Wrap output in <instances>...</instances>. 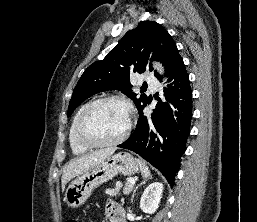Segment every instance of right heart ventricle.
I'll list each match as a JSON object with an SVG mask.
<instances>
[{"instance_id":"e07e8e85","label":"right heart ventricle","mask_w":257,"mask_h":222,"mask_svg":"<svg viewBox=\"0 0 257 222\" xmlns=\"http://www.w3.org/2000/svg\"><path fill=\"white\" fill-rule=\"evenodd\" d=\"M88 105L89 104H85L84 106H82L79 109V111L74 116V118H73V120L71 122L70 128H69V134H68L69 145H70V148H71L73 154H75V155L83 154V153L87 152L90 149L89 147H86V146L80 144L78 142V140L76 139V136H75V128H76L77 120H78L79 116L81 115V113L84 111V109Z\"/></svg>"}]
</instances>
